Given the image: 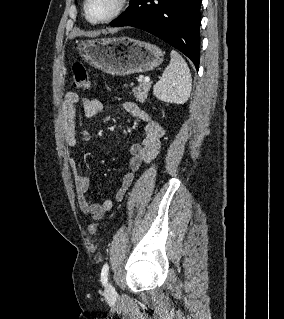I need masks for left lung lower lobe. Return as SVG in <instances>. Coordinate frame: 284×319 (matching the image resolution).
<instances>
[{
	"instance_id": "1",
	"label": "left lung lower lobe",
	"mask_w": 284,
	"mask_h": 319,
	"mask_svg": "<svg viewBox=\"0 0 284 319\" xmlns=\"http://www.w3.org/2000/svg\"><path fill=\"white\" fill-rule=\"evenodd\" d=\"M201 0H131L110 25L147 31L184 53L199 69Z\"/></svg>"
}]
</instances>
